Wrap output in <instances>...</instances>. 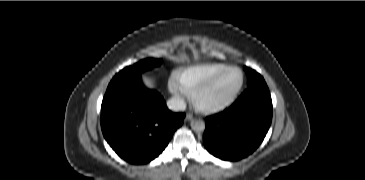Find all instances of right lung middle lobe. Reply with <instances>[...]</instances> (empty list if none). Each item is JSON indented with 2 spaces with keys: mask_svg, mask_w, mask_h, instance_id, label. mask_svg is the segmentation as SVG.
<instances>
[{
  "mask_svg": "<svg viewBox=\"0 0 365 180\" xmlns=\"http://www.w3.org/2000/svg\"><path fill=\"white\" fill-rule=\"evenodd\" d=\"M161 63L162 59H153V58L144 59L132 66H128L123 70H121L113 77L110 83H114L127 77L140 76L142 72L149 70L155 66H158Z\"/></svg>",
  "mask_w": 365,
  "mask_h": 180,
  "instance_id": "obj_1",
  "label": "right lung middle lobe"
}]
</instances>
